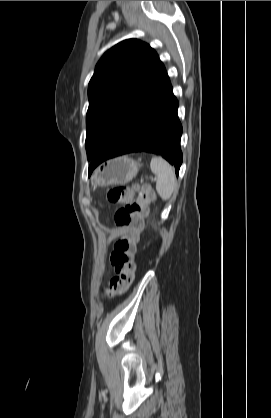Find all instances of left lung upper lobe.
<instances>
[{
  "mask_svg": "<svg viewBox=\"0 0 271 418\" xmlns=\"http://www.w3.org/2000/svg\"><path fill=\"white\" fill-rule=\"evenodd\" d=\"M165 69L157 53L136 39L109 49L88 86L86 151L92 160L111 133Z\"/></svg>",
  "mask_w": 271,
  "mask_h": 418,
  "instance_id": "5c2ea615",
  "label": "left lung upper lobe"
}]
</instances>
